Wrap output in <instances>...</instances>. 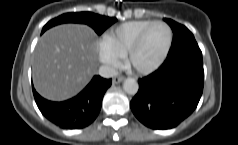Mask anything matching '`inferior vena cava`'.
Masks as SVG:
<instances>
[{"label": "inferior vena cava", "mask_w": 238, "mask_h": 145, "mask_svg": "<svg viewBox=\"0 0 238 145\" xmlns=\"http://www.w3.org/2000/svg\"><path fill=\"white\" fill-rule=\"evenodd\" d=\"M118 72L114 67L103 65L99 68V75L104 78H111L117 76Z\"/></svg>", "instance_id": "1"}]
</instances>
